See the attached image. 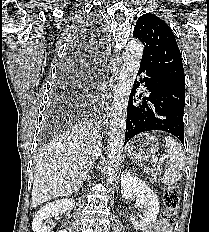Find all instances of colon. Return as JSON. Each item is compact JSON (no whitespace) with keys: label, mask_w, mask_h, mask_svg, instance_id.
Listing matches in <instances>:
<instances>
[{"label":"colon","mask_w":209,"mask_h":232,"mask_svg":"<svg viewBox=\"0 0 209 232\" xmlns=\"http://www.w3.org/2000/svg\"><path fill=\"white\" fill-rule=\"evenodd\" d=\"M179 198L176 192L172 189L166 191L164 195L165 211L161 215V221L169 223L177 214Z\"/></svg>","instance_id":"1"}]
</instances>
